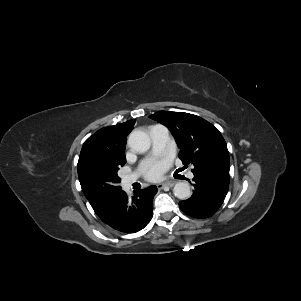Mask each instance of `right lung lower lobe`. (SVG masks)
Returning <instances> with one entry per match:
<instances>
[{
    "label": "right lung lower lobe",
    "mask_w": 301,
    "mask_h": 301,
    "mask_svg": "<svg viewBox=\"0 0 301 301\" xmlns=\"http://www.w3.org/2000/svg\"><path fill=\"white\" fill-rule=\"evenodd\" d=\"M156 186L138 190L130 199L122 191L112 205L100 215V219L113 229L125 233H135L143 229L153 215V196Z\"/></svg>",
    "instance_id": "98d812e1"
}]
</instances>
